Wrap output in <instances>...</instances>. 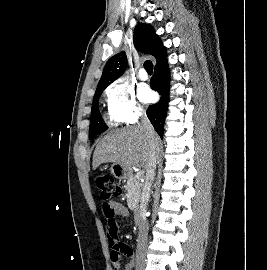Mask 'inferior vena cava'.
<instances>
[{
	"label": "inferior vena cava",
	"instance_id": "obj_1",
	"mask_svg": "<svg viewBox=\"0 0 267 270\" xmlns=\"http://www.w3.org/2000/svg\"><path fill=\"white\" fill-rule=\"evenodd\" d=\"M138 126H140L147 137L149 138V144L151 149V157L149 165L146 169V178L145 183L143 186L142 196H141V202L139 207V233H138V239H137V254H136V261L138 264L144 263L145 254L144 251L146 249L147 245V239H148V223L146 220V213H147V206L150 198V192H151V186L154 181L155 175H156V166H157V160L159 158L160 154V148L156 145L155 137L156 133L145 113L140 114V122L138 123Z\"/></svg>",
	"mask_w": 267,
	"mask_h": 270
}]
</instances>
